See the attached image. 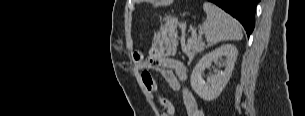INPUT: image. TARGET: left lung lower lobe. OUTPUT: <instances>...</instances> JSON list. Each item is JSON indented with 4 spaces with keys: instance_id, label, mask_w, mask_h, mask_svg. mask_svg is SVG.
<instances>
[{
    "instance_id": "0a47b994",
    "label": "left lung lower lobe",
    "mask_w": 305,
    "mask_h": 116,
    "mask_svg": "<svg viewBox=\"0 0 305 116\" xmlns=\"http://www.w3.org/2000/svg\"><path fill=\"white\" fill-rule=\"evenodd\" d=\"M231 14L244 26L250 36L255 24V9L259 0H209Z\"/></svg>"
}]
</instances>
